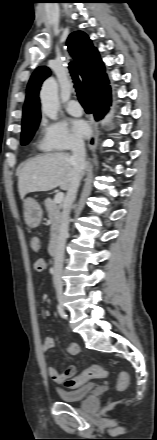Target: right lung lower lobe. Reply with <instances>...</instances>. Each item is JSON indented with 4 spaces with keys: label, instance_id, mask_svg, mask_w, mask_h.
<instances>
[{
    "label": "right lung lower lobe",
    "instance_id": "98d812e1",
    "mask_svg": "<svg viewBox=\"0 0 157 440\" xmlns=\"http://www.w3.org/2000/svg\"><path fill=\"white\" fill-rule=\"evenodd\" d=\"M93 102V110H94V116L96 120H99L104 117V115L108 112L109 107L111 105V94L92 100Z\"/></svg>",
    "mask_w": 157,
    "mask_h": 440
}]
</instances>
